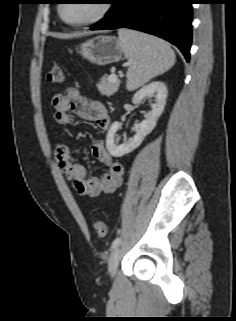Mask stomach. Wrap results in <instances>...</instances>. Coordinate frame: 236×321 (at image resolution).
I'll use <instances>...</instances> for the list:
<instances>
[{"label": "stomach", "instance_id": "stomach-1", "mask_svg": "<svg viewBox=\"0 0 236 321\" xmlns=\"http://www.w3.org/2000/svg\"><path fill=\"white\" fill-rule=\"evenodd\" d=\"M79 53L96 65H107L122 59L124 51L114 36L99 35L83 42Z\"/></svg>", "mask_w": 236, "mask_h": 321}]
</instances>
